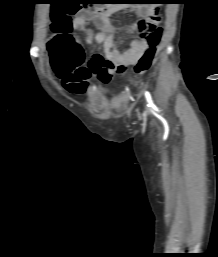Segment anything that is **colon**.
Instances as JSON below:
<instances>
[{
    "label": "colon",
    "instance_id": "obj_1",
    "mask_svg": "<svg viewBox=\"0 0 218 257\" xmlns=\"http://www.w3.org/2000/svg\"><path fill=\"white\" fill-rule=\"evenodd\" d=\"M53 36L48 43L53 67L60 77H69L83 66L85 54L79 38L71 33V14H76L78 5H50ZM83 10H92V5H83ZM136 10H146L144 18L133 27L134 32L148 40L149 47L135 65L137 75L146 72L154 59L161 38L160 18L154 5H136ZM89 67V64H88Z\"/></svg>",
    "mask_w": 218,
    "mask_h": 257
}]
</instances>
